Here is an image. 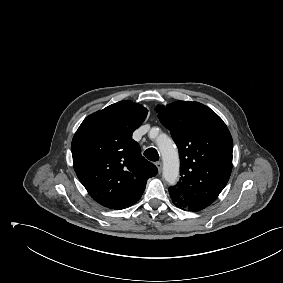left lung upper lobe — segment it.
I'll return each instance as SVG.
<instances>
[{
    "label": "left lung upper lobe",
    "instance_id": "obj_1",
    "mask_svg": "<svg viewBox=\"0 0 283 283\" xmlns=\"http://www.w3.org/2000/svg\"><path fill=\"white\" fill-rule=\"evenodd\" d=\"M179 149L180 180L169 188L174 204L200 211L212 204L232 171L233 142L223 120L209 107L177 101L156 108Z\"/></svg>",
    "mask_w": 283,
    "mask_h": 283
}]
</instances>
